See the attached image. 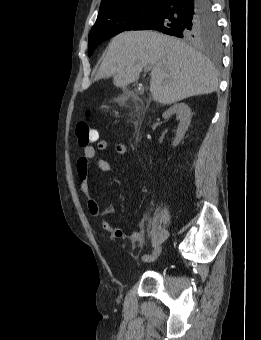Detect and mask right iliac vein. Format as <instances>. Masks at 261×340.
<instances>
[{"mask_svg": "<svg viewBox=\"0 0 261 340\" xmlns=\"http://www.w3.org/2000/svg\"><path fill=\"white\" fill-rule=\"evenodd\" d=\"M162 250H163V247L161 245H158V246L155 247V249L153 250V252L151 254L150 263L155 262L159 258V256L162 253Z\"/></svg>", "mask_w": 261, "mask_h": 340, "instance_id": "1", "label": "right iliac vein"}]
</instances>
